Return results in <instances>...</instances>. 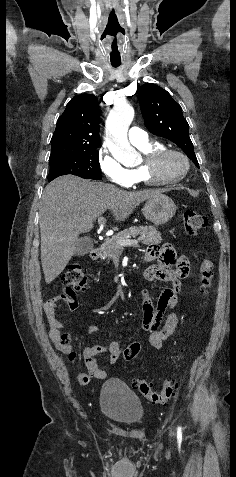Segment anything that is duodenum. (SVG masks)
Listing matches in <instances>:
<instances>
[{
  "label": "duodenum",
  "instance_id": "1",
  "mask_svg": "<svg viewBox=\"0 0 236 477\" xmlns=\"http://www.w3.org/2000/svg\"><path fill=\"white\" fill-rule=\"evenodd\" d=\"M100 252H101L100 246H95L91 251V254H90L91 258L93 260H96L99 257Z\"/></svg>",
  "mask_w": 236,
  "mask_h": 477
}]
</instances>
